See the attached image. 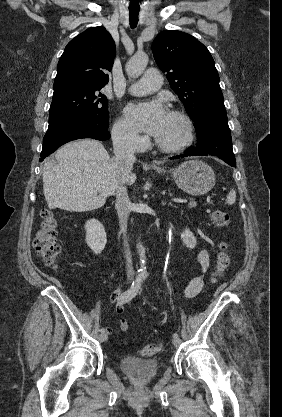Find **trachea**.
Here are the masks:
<instances>
[{"label":"trachea","mask_w":282,"mask_h":417,"mask_svg":"<svg viewBox=\"0 0 282 417\" xmlns=\"http://www.w3.org/2000/svg\"><path fill=\"white\" fill-rule=\"evenodd\" d=\"M130 16V26L132 29H134L137 26L138 23V14L139 10H130L129 11Z\"/></svg>","instance_id":"3493384b"}]
</instances>
